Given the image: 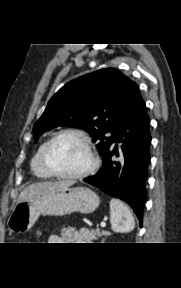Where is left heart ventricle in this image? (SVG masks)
<instances>
[{
    "label": "left heart ventricle",
    "instance_id": "1",
    "mask_svg": "<svg viewBox=\"0 0 181 288\" xmlns=\"http://www.w3.org/2000/svg\"><path fill=\"white\" fill-rule=\"evenodd\" d=\"M49 161L58 172L74 174L88 165L89 156L86 147L78 137L66 135L52 145Z\"/></svg>",
    "mask_w": 181,
    "mask_h": 288
}]
</instances>
